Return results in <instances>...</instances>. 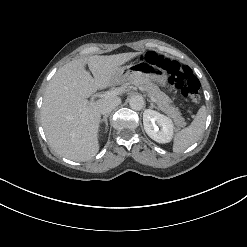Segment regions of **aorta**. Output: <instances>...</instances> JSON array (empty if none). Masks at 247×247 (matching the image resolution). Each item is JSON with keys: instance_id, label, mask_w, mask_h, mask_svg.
I'll return each instance as SVG.
<instances>
[{"instance_id": "1", "label": "aorta", "mask_w": 247, "mask_h": 247, "mask_svg": "<svg viewBox=\"0 0 247 247\" xmlns=\"http://www.w3.org/2000/svg\"><path fill=\"white\" fill-rule=\"evenodd\" d=\"M130 108L140 111L144 107V99L140 95H134L129 99Z\"/></svg>"}]
</instances>
